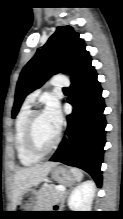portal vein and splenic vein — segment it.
<instances>
[{
	"label": "portal vein and splenic vein",
	"mask_w": 123,
	"mask_h": 219,
	"mask_svg": "<svg viewBox=\"0 0 123 219\" xmlns=\"http://www.w3.org/2000/svg\"><path fill=\"white\" fill-rule=\"evenodd\" d=\"M56 189L59 190V191H65L66 190V188L64 186H57Z\"/></svg>",
	"instance_id": "1"
}]
</instances>
